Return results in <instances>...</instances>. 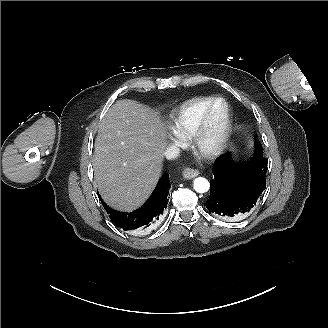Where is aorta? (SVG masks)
Here are the masks:
<instances>
[{"label": "aorta", "mask_w": 328, "mask_h": 328, "mask_svg": "<svg viewBox=\"0 0 328 328\" xmlns=\"http://www.w3.org/2000/svg\"><path fill=\"white\" fill-rule=\"evenodd\" d=\"M194 190L198 193H205L209 190L210 184L206 178L198 177L193 183Z\"/></svg>", "instance_id": "1"}]
</instances>
